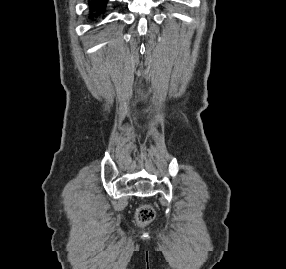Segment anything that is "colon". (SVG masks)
<instances>
[{"instance_id":"5ec220e1","label":"colon","mask_w":286,"mask_h":269,"mask_svg":"<svg viewBox=\"0 0 286 269\" xmlns=\"http://www.w3.org/2000/svg\"><path fill=\"white\" fill-rule=\"evenodd\" d=\"M155 217L153 209L148 205H143L137 210V221L140 224H146Z\"/></svg>"}]
</instances>
